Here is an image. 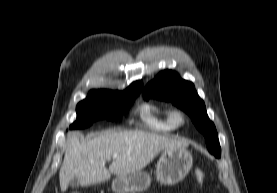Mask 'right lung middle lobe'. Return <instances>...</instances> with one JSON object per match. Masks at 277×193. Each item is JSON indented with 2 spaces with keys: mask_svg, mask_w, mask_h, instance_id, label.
<instances>
[{
  "mask_svg": "<svg viewBox=\"0 0 277 193\" xmlns=\"http://www.w3.org/2000/svg\"><path fill=\"white\" fill-rule=\"evenodd\" d=\"M139 93L106 94L89 92L87 98L76 107L77 120L70 129L89 127L96 120H114L133 104Z\"/></svg>",
  "mask_w": 277,
  "mask_h": 193,
  "instance_id": "1",
  "label": "right lung middle lobe"
}]
</instances>
